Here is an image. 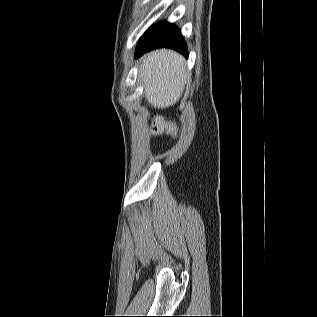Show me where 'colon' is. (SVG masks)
Listing matches in <instances>:
<instances>
[{
  "label": "colon",
  "instance_id": "colon-1",
  "mask_svg": "<svg viewBox=\"0 0 317 317\" xmlns=\"http://www.w3.org/2000/svg\"><path fill=\"white\" fill-rule=\"evenodd\" d=\"M153 130L156 133H161L164 131L172 133L174 131V126L171 122L164 120L161 117H158L155 119Z\"/></svg>",
  "mask_w": 317,
  "mask_h": 317
}]
</instances>
